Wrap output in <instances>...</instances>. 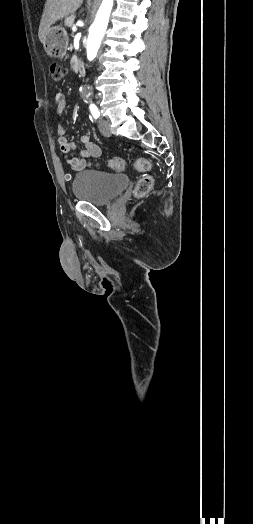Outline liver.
<instances>
[{
    "label": "liver",
    "instance_id": "6515ba94",
    "mask_svg": "<svg viewBox=\"0 0 253 524\" xmlns=\"http://www.w3.org/2000/svg\"><path fill=\"white\" fill-rule=\"evenodd\" d=\"M82 2L83 0H47L38 31L40 42L44 44L51 25L74 13L81 6Z\"/></svg>",
    "mask_w": 253,
    "mask_h": 524
}]
</instances>
